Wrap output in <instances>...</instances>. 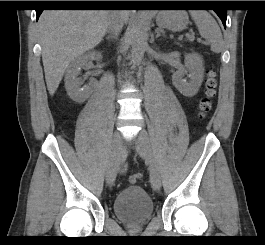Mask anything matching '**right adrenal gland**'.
<instances>
[{"label": "right adrenal gland", "instance_id": "2a0ac1e0", "mask_svg": "<svg viewBox=\"0 0 265 245\" xmlns=\"http://www.w3.org/2000/svg\"><path fill=\"white\" fill-rule=\"evenodd\" d=\"M106 39H107V41H113V40L117 39V35H115V36H108V37H106Z\"/></svg>", "mask_w": 265, "mask_h": 245}]
</instances>
